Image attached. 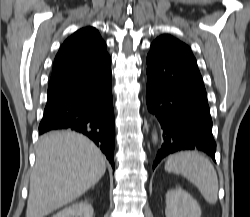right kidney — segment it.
<instances>
[{
  "label": "right kidney",
  "mask_w": 250,
  "mask_h": 217,
  "mask_svg": "<svg viewBox=\"0 0 250 217\" xmlns=\"http://www.w3.org/2000/svg\"><path fill=\"white\" fill-rule=\"evenodd\" d=\"M52 217H93V207L88 202L72 204Z\"/></svg>",
  "instance_id": "ca27d5eb"
}]
</instances>
